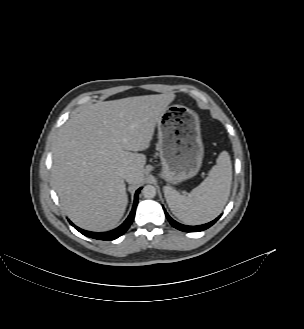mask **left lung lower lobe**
<instances>
[{
    "label": "left lung lower lobe",
    "instance_id": "obj_1",
    "mask_svg": "<svg viewBox=\"0 0 304 329\" xmlns=\"http://www.w3.org/2000/svg\"><path fill=\"white\" fill-rule=\"evenodd\" d=\"M165 212V215L168 219V221L170 222V224L175 227L176 229L178 230H181V231H184V232H199V231H203L207 228H209L210 226H212L218 219L216 218L215 220L209 222V223H206V224H203V225H199V226H187V225H183V224H180L178 222H176L175 220H173L169 215L168 213L166 212V210H164Z\"/></svg>",
    "mask_w": 304,
    "mask_h": 329
}]
</instances>
